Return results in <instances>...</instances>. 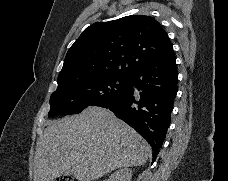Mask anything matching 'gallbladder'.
Listing matches in <instances>:
<instances>
[{"label":"gallbladder","mask_w":228,"mask_h":181,"mask_svg":"<svg viewBox=\"0 0 228 181\" xmlns=\"http://www.w3.org/2000/svg\"><path fill=\"white\" fill-rule=\"evenodd\" d=\"M65 175H72V167L68 171H65Z\"/></svg>","instance_id":"obj_1"}]
</instances>
